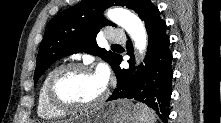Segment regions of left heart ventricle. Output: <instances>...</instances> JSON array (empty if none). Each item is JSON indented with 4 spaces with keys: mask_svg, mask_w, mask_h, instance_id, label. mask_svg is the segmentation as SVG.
Segmentation results:
<instances>
[{
    "mask_svg": "<svg viewBox=\"0 0 221 123\" xmlns=\"http://www.w3.org/2000/svg\"><path fill=\"white\" fill-rule=\"evenodd\" d=\"M61 98L74 103H91L104 89V83L95 72L72 70L64 73L57 82Z\"/></svg>",
    "mask_w": 221,
    "mask_h": 123,
    "instance_id": "obj_1",
    "label": "left heart ventricle"
}]
</instances>
